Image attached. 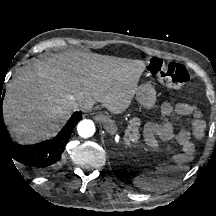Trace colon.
<instances>
[{
  "label": "colon",
  "instance_id": "obj_1",
  "mask_svg": "<svg viewBox=\"0 0 216 216\" xmlns=\"http://www.w3.org/2000/svg\"><path fill=\"white\" fill-rule=\"evenodd\" d=\"M149 71L162 83L177 90L182 89L189 79V73L183 65L173 62L165 63L159 58L151 59Z\"/></svg>",
  "mask_w": 216,
  "mask_h": 216
}]
</instances>
